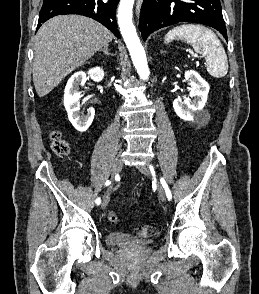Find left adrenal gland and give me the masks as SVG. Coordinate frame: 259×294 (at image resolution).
<instances>
[{
  "instance_id": "left-adrenal-gland-1",
  "label": "left adrenal gland",
  "mask_w": 259,
  "mask_h": 294,
  "mask_svg": "<svg viewBox=\"0 0 259 294\" xmlns=\"http://www.w3.org/2000/svg\"><path fill=\"white\" fill-rule=\"evenodd\" d=\"M162 53H165V52H164V51H161V54H162Z\"/></svg>"
}]
</instances>
